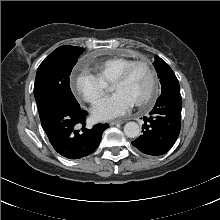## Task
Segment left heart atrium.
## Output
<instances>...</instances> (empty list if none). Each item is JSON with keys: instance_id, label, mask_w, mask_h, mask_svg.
<instances>
[{"instance_id": "left-heart-atrium-1", "label": "left heart atrium", "mask_w": 220, "mask_h": 220, "mask_svg": "<svg viewBox=\"0 0 220 220\" xmlns=\"http://www.w3.org/2000/svg\"><path fill=\"white\" fill-rule=\"evenodd\" d=\"M134 105L133 100L123 92H117L112 97L99 102L93 109L94 119L103 121L124 115Z\"/></svg>"}]
</instances>
